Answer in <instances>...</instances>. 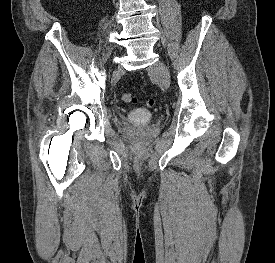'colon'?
<instances>
[{"label":"colon","mask_w":275,"mask_h":263,"mask_svg":"<svg viewBox=\"0 0 275 263\" xmlns=\"http://www.w3.org/2000/svg\"><path fill=\"white\" fill-rule=\"evenodd\" d=\"M121 99L122 101L130 104H136L137 103V97L134 94L124 92L121 94ZM148 105L152 106L153 105V100L149 99L148 100Z\"/></svg>","instance_id":"5ec220e1"}]
</instances>
